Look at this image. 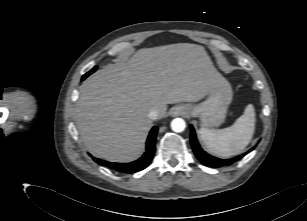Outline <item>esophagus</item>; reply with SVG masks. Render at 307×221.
<instances>
[{"instance_id": "obj_1", "label": "esophagus", "mask_w": 307, "mask_h": 221, "mask_svg": "<svg viewBox=\"0 0 307 221\" xmlns=\"http://www.w3.org/2000/svg\"><path fill=\"white\" fill-rule=\"evenodd\" d=\"M187 114V109L184 106H176L171 110L172 116H185Z\"/></svg>"}]
</instances>
